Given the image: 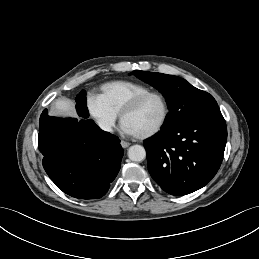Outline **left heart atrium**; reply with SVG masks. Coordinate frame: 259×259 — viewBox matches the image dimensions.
<instances>
[{
  "mask_svg": "<svg viewBox=\"0 0 259 259\" xmlns=\"http://www.w3.org/2000/svg\"><path fill=\"white\" fill-rule=\"evenodd\" d=\"M121 130L123 133L127 135H137L136 132L125 122H122L121 124Z\"/></svg>",
  "mask_w": 259,
  "mask_h": 259,
  "instance_id": "obj_1",
  "label": "left heart atrium"
}]
</instances>
